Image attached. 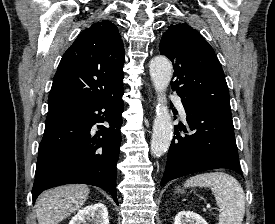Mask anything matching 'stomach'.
I'll list each match as a JSON object with an SVG mask.
<instances>
[{
  "mask_svg": "<svg viewBox=\"0 0 275 224\" xmlns=\"http://www.w3.org/2000/svg\"><path fill=\"white\" fill-rule=\"evenodd\" d=\"M176 190H177L178 193H179V192H183V190L180 189V187H177Z\"/></svg>",
  "mask_w": 275,
  "mask_h": 224,
  "instance_id": "obj_1",
  "label": "stomach"
}]
</instances>
